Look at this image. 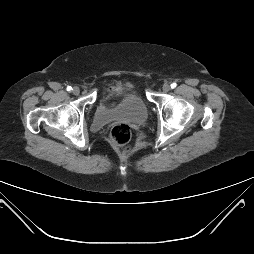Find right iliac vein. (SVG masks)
<instances>
[{"label": "right iliac vein", "instance_id": "obj_1", "mask_svg": "<svg viewBox=\"0 0 254 254\" xmlns=\"http://www.w3.org/2000/svg\"><path fill=\"white\" fill-rule=\"evenodd\" d=\"M72 93L74 95H79L80 94V89L78 87H74L73 90H72Z\"/></svg>", "mask_w": 254, "mask_h": 254}]
</instances>
